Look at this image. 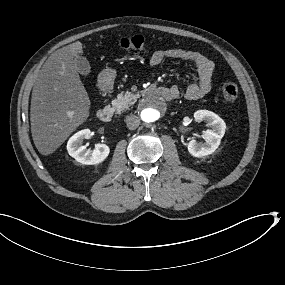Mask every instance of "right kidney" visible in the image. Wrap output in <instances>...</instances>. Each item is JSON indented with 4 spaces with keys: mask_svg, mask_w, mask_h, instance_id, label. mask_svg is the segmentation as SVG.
I'll return each mask as SVG.
<instances>
[{
    "mask_svg": "<svg viewBox=\"0 0 285 285\" xmlns=\"http://www.w3.org/2000/svg\"><path fill=\"white\" fill-rule=\"evenodd\" d=\"M91 134L89 129H84L75 133L67 143V151L77 162L85 165H94L104 161L109 155L110 149L106 144H96L95 148L87 149L82 145L83 139Z\"/></svg>",
    "mask_w": 285,
    "mask_h": 285,
    "instance_id": "obj_1",
    "label": "right kidney"
}]
</instances>
